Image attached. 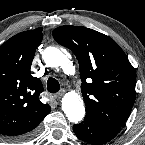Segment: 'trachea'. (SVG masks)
<instances>
[{
  "label": "trachea",
  "mask_w": 145,
  "mask_h": 145,
  "mask_svg": "<svg viewBox=\"0 0 145 145\" xmlns=\"http://www.w3.org/2000/svg\"><path fill=\"white\" fill-rule=\"evenodd\" d=\"M60 89V84L55 78H49L47 80V90L50 93H56Z\"/></svg>",
  "instance_id": "3493384b"
}]
</instances>
